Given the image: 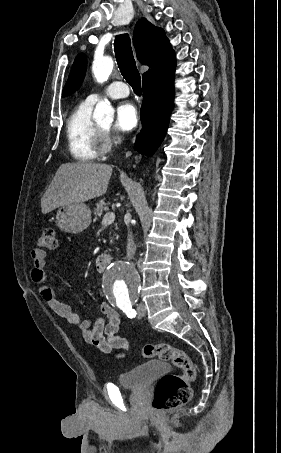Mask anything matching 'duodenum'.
<instances>
[{
    "label": "duodenum",
    "instance_id": "duodenum-1",
    "mask_svg": "<svg viewBox=\"0 0 281 453\" xmlns=\"http://www.w3.org/2000/svg\"><path fill=\"white\" fill-rule=\"evenodd\" d=\"M112 258L107 253H101L96 259V267L99 272H104L106 268L111 264Z\"/></svg>",
    "mask_w": 281,
    "mask_h": 453
}]
</instances>
